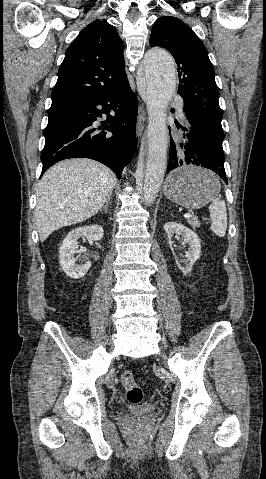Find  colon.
Wrapping results in <instances>:
<instances>
[{
	"label": "colon",
	"instance_id": "obj_1",
	"mask_svg": "<svg viewBox=\"0 0 266 479\" xmlns=\"http://www.w3.org/2000/svg\"><path fill=\"white\" fill-rule=\"evenodd\" d=\"M122 383L126 389V397L129 403L137 404L142 401L143 392L141 387L135 382L133 373L125 371L122 376Z\"/></svg>",
	"mask_w": 266,
	"mask_h": 479
}]
</instances>
